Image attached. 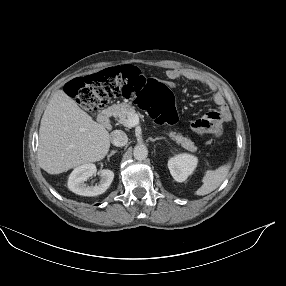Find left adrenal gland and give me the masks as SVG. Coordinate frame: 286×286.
<instances>
[{"instance_id": "a2214340", "label": "left adrenal gland", "mask_w": 286, "mask_h": 286, "mask_svg": "<svg viewBox=\"0 0 286 286\" xmlns=\"http://www.w3.org/2000/svg\"><path fill=\"white\" fill-rule=\"evenodd\" d=\"M149 139H150V141L155 142L156 140H163L165 138L164 137H156V138L150 137Z\"/></svg>"}]
</instances>
